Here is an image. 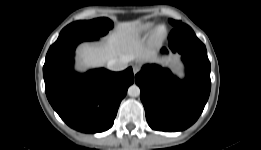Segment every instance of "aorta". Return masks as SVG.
<instances>
[{"label":"aorta","instance_id":"obj_1","mask_svg":"<svg viewBox=\"0 0 261 150\" xmlns=\"http://www.w3.org/2000/svg\"><path fill=\"white\" fill-rule=\"evenodd\" d=\"M128 95L131 97H138L140 95V88L133 84L128 88Z\"/></svg>","mask_w":261,"mask_h":150}]
</instances>
